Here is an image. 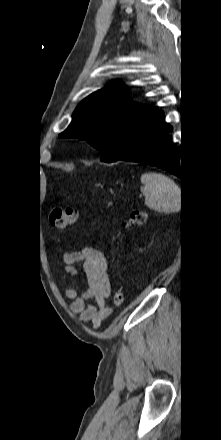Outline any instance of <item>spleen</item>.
I'll return each instance as SVG.
<instances>
[{
    "mask_svg": "<svg viewBox=\"0 0 221 440\" xmlns=\"http://www.w3.org/2000/svg\"><path fill=\"white\" fill-rule=\"evenodd\" d=\"M141 182V192L148 208L164 213L178 210L180 188L171 178L162 173L150 172L141 176Z\"/></svg>",
    "mask_w": 221,
    "mask_h": 440,
    "instance_id": "obj_1",
    "label": "spleen"
}]
</instances>
